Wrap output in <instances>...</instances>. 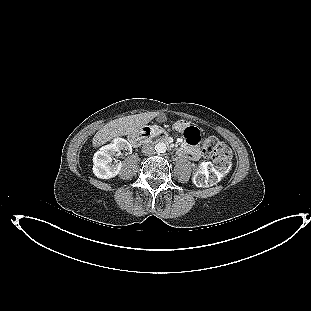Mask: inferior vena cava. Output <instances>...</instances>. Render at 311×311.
<instances>
[{
	"label": "inferior vena cava",
	"instance_id": "1",
	"mask_svg": "<svg viewBox=\"0 0 311 311\" xmlns=\"http://www.w3.org/2000/svg\"><path fill=\"white\" fill-rule=\"evenodd\" d=\"M142 152L145 154V155H153L155 153V148L153 146V144L151 143H145L143 146H142Z\"/></svg>",
	"mask_w": 311,
	"mask_h": 311
}]
</instances>
